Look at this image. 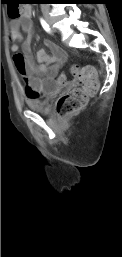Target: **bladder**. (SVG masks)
I'll return each mask as SVG.
<instances>
[{
  "mask_svg": "<svg viewBox=\"0 0 122 257\" xmlns=\"http://www.w3.org/2000/svg\"><path fill=\"white\" fill-rule=\"evenodd\" d=\"M27 105L37 113L45 114L50 111V97L42 99H27Z\"/></svg>",
  "mask_w": 122,
  "mask_h": 257,
  "instance_id": "31cf9c89",
  "label": "bladder"
}]
</instances>
